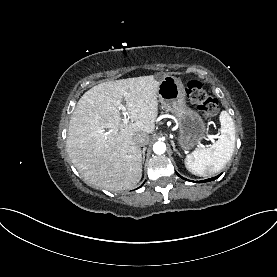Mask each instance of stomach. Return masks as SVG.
Returning <instances> with one entry per match:
<instances>
[{
	"instance_id": "1",
	"label": "stomach",
	"mask_w": 277,
	"mask_h": 277,
	"mask_svg": "<svg viewBox=\"0 0 277 277\" xmlns=\"http://www.w3.org/2000/svg\"><path fill=\"white\" fill-rule=\"evenodd\" d=\"M157 97L162 107L171 112L178 121V144L190 150L201 142L207 134V126L201 115L186 104V91L182 81L174 76L161 78Z\"/></svg>"
}]
</instances>
